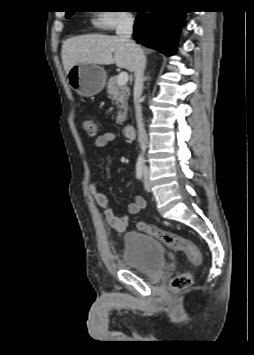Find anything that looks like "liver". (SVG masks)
Masks as SVG:
<instances>
[{
	"mask_svg": "<svg viewBox=\"0 0 254 355\" xmlns=\"http://www.w3.org/2000/svg\"><path fill=\"white\" fill-rule=\"evenodd\" d=\"M61 55L66 73L80 63H115L120 68L134 71L133 52L118 36L88 34L72 37L63 43Z\"/></svg>",
	"mask_w": 254,
	"mask_h": 355,
	"instance_id": "6515ba94",
	"label": "liver"
}]
</instances>
